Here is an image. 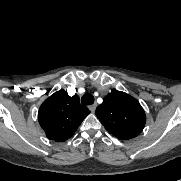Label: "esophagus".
<instances>
[{"label":"esophagus","instance_id":"1","mask_svg":"<svg viewBox=\"0 0 181 181\" xmlns=\"http://www.w3.org/2000/svg\"><path fill=\"white\" fill-rule=\"evenodd\" d=\"M96 107H97V104H92V105L89 106V110H90L91 112H95Z\"/></svg>","mask_w":181,"mask_h":181}]
</instances>
